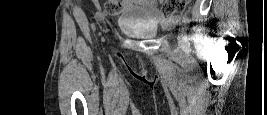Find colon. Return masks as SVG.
I'll list each match as a JSON object with an SVG mask.
<instances>
[{"label":"colon","instance_id":"colon-1","mask_svg":"<svg viewBox=\"0 0 267 115\" xmlns=\"http://www.w3.org/2000/svg\"><path fill=\"white\" fill-rule=\"evenodd\" d=\"M121 0H108L105 3L104 11L108 15H117L122 10ZM190 3V0H165L161 7V16L164 19L173 17L176 13Z\"/></svg>","mask_w":267,"mask_h":115}]
</instances>
